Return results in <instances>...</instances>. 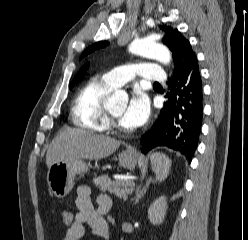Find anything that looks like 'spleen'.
Instances as JSON below:
<instances>
[{
	"instance_id": "1",
	"label": "spleen",
	"mask_w": 248,
	"mask_h": 240,
	"mask_svg": "<svg viewBox=\"0 0 248 240\" xmlns=\"http://www.w3.org/2000/svg\"><path fill=\"white\" fill-rule=\"evenodd\" d=\"M150 159L152 170L156 174V179L158 181L165 180L170 171L171 160L165 154L159 152L153 153Z\"/></svg>"
}]
</instances>
